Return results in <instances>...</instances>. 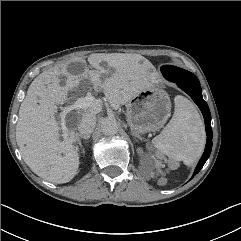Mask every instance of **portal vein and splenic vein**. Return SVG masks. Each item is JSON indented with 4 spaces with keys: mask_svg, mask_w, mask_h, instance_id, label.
Instances as JSON below:
<instances>
[{
    "mask_svg": "<svg viewBox=\"0 0 241 241\" xmlns=\"http://www.w3.org/2000/svg\"><path fill=\"white\" fill-rule=\"evenodd\" d=\"M93 106L100 107V104L92 96H86L83 98H79L77 101L74 102L73 105L67 108L66 111H70L74 109H85Z\"/></svg>",
    "mask_w": 241,
    "mask_h": 241,
    "instance_id": "1",
    "label": "portal vein and splenic vein"
}]
</instances>
